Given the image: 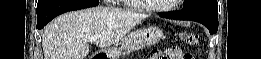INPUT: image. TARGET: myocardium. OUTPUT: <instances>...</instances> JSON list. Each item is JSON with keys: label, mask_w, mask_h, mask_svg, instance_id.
Masks as SVG:
<instances>
[{"label": "myocardium", "mask_w": 261, "mask_h": 59, "mask_svg": "<svg viewBox=\"0 0 261 59\" xmlns=\"http://www.w3.org/2000/svg\"><path fill=\"white\" fill-rule=\"evenodd\" d=\"M181 1L182 0H175V2L170 6H155L147 3L146 1H141L140 4L142 8H144L147 11L163 13L176 9Z\"/></svg>", "instance_id": "myocardium-1"}]
</instances>
